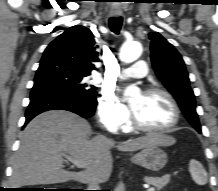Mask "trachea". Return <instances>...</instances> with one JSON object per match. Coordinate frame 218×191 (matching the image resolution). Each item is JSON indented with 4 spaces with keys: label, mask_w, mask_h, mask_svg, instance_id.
<instances>
[{
    "label": "trachea",
    "mask_w": 218,
    "mask_h": 191,
    "mask_svg": "<svg viewBox=\"0 0 218 191\" xmlns=\"http://www.w3.org/2000/svg\"><path fill=\"white\" fill-rule=\"evenodd\" d=\"M122 26V17H117V18H110L109 19V27L112 32L115 34H119L120 29Z\"/></svg>",
    "instance_id": "trachea-1"
}]
</instances>
